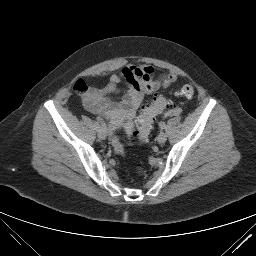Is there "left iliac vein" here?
Listing matches in <instances>:
<instances>
[{
	"label": "left iliac vein",
	"mask_w": 256,
	"mask_h": 256,
	"mask_svg": "<svg viewBox=\"0 0 256 256\" xmlns=\"http://www.w3.org/2000/svg\"><path fill=\"white\" fill-rule=\"evenodd\" d=\"M167 140V135L164 132L159 133V135L157 136V141L159 144H163L165 143Z\"/></svg>",
	"instance_id": "left-iliac-vein-1"
}]
</instances>
